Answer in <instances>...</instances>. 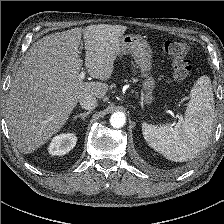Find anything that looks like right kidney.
<instances>
[{"instance_id": "ca27d5eb", "label": "right kidney", "mask_w": 224, "mask_h": 224, "mask_svg": "<svg viewBox=\"0 0 224 224\" xmlns=\"http://www.w3.org/2000/svg\"><path fill=\"white\" fill-rule=\"evenodd\" d=\"M77 137L72 133L55 136L49 146L48 152L51 155H65L76 145Z\"/></svg>"}]
</instances>
